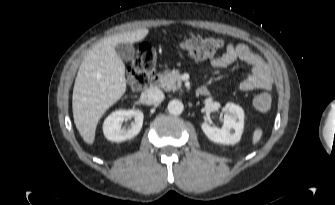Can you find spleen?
<instances>
[{
	"instance_id": "3e777b00",
	"label": "spleen",
	"mask_w": 335,
	"mask_h": 205,
	"mask_svg": "<svg viewBox=\"0 0 335 205\" xmlns=\"http://www.w3.org/2000/svg\"><path fill=\"white\" fill-rule=\"evenodd\" d=\"M261 137H262V129L256 128L252 138L253 144H256L261 139Z\"/></svg>"
}]
</instances>
